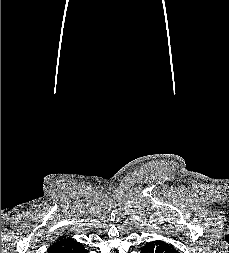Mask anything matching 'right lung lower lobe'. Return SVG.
<instances>
[{
    "mask_svg": "<svg viewBox=\"0 0 229 253\" xmlns=\"http://www.w3.org/2000/svg\"><path fill=\"white\" fill-rule=\"evenodd\" d=\"M47 253H87V250H85L81 243L73 240L63 245L50 247L48 248Z\"/></svg>",
    "mask_w": 229,
    "mask_h": 253,
    "instance_id": "98d812e1",
    "label": "right lung lower lobe"
}]
</instances>
